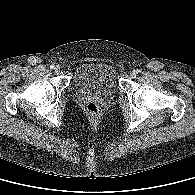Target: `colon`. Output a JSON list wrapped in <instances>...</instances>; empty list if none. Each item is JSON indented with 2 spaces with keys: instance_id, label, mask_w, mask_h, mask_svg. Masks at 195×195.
<instances>
[{
  "instance_id": "1",
  "label": "colon",
  "mask_w": 195,
  "mask_h": 195,
  "mask_svg": "<svg viewBox=\"0 0 195 195\" xmlns=\"http://www.w3.org/2000/svg\"><path fill=\"white\" fill-rule=\"evenodd\" d=\"M86 112L90 117L96 118L100 115V108L97 103L89 102L86 105Z\"/></svg>"
}]
</instances>
